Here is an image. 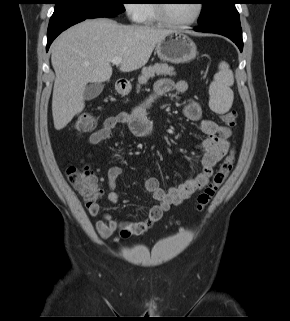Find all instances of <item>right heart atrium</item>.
Masks as SVG:
<instances>
[{
  "label": "right heart atrium",
  "instance_id": "d8ad5b80",
  "mask_svg": "<svg viewBox=\"0 0 290 321\" xmlns=\"http://www.w3.org/2000/svg\"><path fill=\"white\" fill-rule=\"evenodd\" d=\"M135 0H126L124 10L131 21H139L141 18L140 5L134 3Z\"/></svg>",
  "mask_w": 290,
  "mask_h": 321
}]
</instances>
